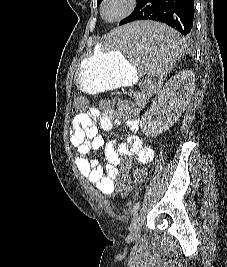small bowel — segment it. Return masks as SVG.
<instances>
[{"instance_id":"small-bowel-1","label":"small bowel","mask_w":227,"mask_h":267,"mask_svg":"<svg viewBox=\"0 0 227 267\" xmlns=\"http://www.w3.org/2000/svg\"><path fill=\"white\" fill-rule=\"evenodd\" d=\"M114 125H125L132 131H138L140 128L139 116L136 111L129 108L128 104L107 111L90 108L86 112L76 114L69 128L70 142L76 148V167L84 178L96 184L103 193L114 191L118 173L121 169L130 168L133 157L140 164H148L154 155L152 148L135 134L127 137V144H117L113 141L104 142L99 135V129L109 130ZM102 147L106 160L104 167L88 156L91 150Z\"/></svg>"}]
</instances>
